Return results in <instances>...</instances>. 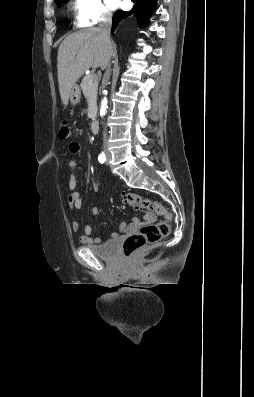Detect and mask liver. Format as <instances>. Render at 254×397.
I'll return each instance as SVG.
<instances>
[{
  "label": "liver",
  "mask_w": 254,
  "mask_h": 397,
  "mask_svg": "<svg viewBox=\"0 0 254 397\" xmlns=\"http://www.w3.org/2000/svg\"><path fill=\"white\" fill-rule=\"evenodd\" d=\"M115 47L104 43L98 28L72 33L60 44L57 56L58 83L62 103L68 105L71 87L91 67L105 69Z\"/></svg>",
  "instance_id": "liver-1"
}]
</instances>
